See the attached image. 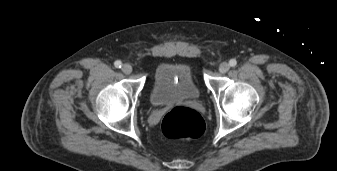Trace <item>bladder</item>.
Wrapping results in <instances>:
<instances>
[{
    "instance_id": "31cf9c89",
    "label": "bladder",
    "mask_w": 337,
    "mask_h": 171,
    "mask_svg": "<svg viewBox=\"0 0 337 171\" xmlns=\"http://www.w3.org/2000/svg\"><path fill=\"white\" fill-rule=\"evenodd\" d=\"M199 98L200 90L187 64L163 63L157 67L150 93L153 105L167 106Z\"/></svg>"
}]
</instances>
